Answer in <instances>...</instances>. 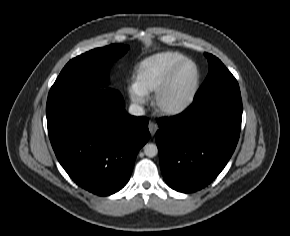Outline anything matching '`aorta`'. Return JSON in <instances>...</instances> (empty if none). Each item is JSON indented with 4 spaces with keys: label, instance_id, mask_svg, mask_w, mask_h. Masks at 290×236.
I'll use <instances>...</instances> for the list:
<instances>
[{
    "label": "aorta",
    "instance_id": "762f6f07",
    "mask_svg": "<svg viewBox=\"0 0 290 236\" xmlns=\"http://www.w3.org/2000/svg\"><path fill=\"white\" fill-rule=\"evenodd\" d=\"M144 153L146 156H148L150 158L155 157L158 154V148L153 143H147L144 146Z\"/></svg>",
    "mask_w": 290,
    "mask_h": 236
}]
</instances>
